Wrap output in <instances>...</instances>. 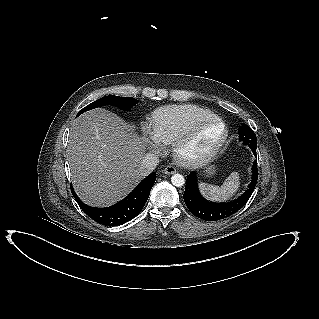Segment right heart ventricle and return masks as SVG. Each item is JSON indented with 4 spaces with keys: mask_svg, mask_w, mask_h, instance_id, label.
Wrapping results in <instances>:
<instances>
[{
    "mask_svg": "<svg viewBox=\"0 0 319 319\" xmlns=\"http://www.w3.org/2000/svg\"><path fill=\"white\" fill-rule=\"evenodd\" d=\"M212 116L211 110L197 105L164 106L152 113L150 128L160 142L172 144L195 122Z\"/></svg>",
    "mask_w": 319,
    "mask_h": 319,
    "instance_id": "1",
    "label": "right heart ventricle"
}]
</instances>
